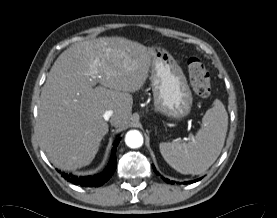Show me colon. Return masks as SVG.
<instances>
[{
	"label": "colon",
	"instance_id": "1",
	"mask_svg": "<svg viewBox=\"0 0 277 218\" xmlns=\"http://www.w3.org/2000/svg\"><path fill=\"white\" fill-rule=\"evenodd\" d=\"M189 80L194 93L206 98L211 94V79L205 63L198 57H191L187 62Z\"/></svg>",
	"mask_w": 277,
	"mask_h": 218
}]
</instances>
